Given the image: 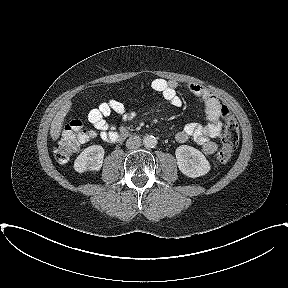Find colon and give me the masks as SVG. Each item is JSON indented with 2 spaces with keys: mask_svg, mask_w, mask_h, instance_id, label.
Segmentation results:
<instances>
[{
  "mask_svg": "<svg viewBox=\"0 0 288 288\" xmlns=\"http://www.w3.org/2000/svg\"><path fill=\"white\" fill-rule=\"evenodd\" d=\"M225 131L222 138V147L215 157L216 164L228 162L237 149L240 131L237 120L227 111L224 115ZM93 136L79 120L69 122L62 131L61 137L55 146V155L60 162H66L77 151L81 143Z\"/></svg>",
  "mask_w": 288,
  "mask_h": 288,
  "instance_id": "obj_1",
  "label": "colon"
}]
</instances>
